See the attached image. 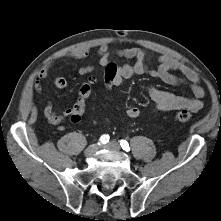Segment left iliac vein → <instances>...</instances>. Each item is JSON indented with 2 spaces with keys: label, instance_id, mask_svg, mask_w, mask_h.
Listing matches in <instances>:
<instances>
[{
  "label": "left iliac vein",
  "instance_id": "left-iliac-vein-1",
  "mask_svg": "<svg viewBox=\"0 0 221 221\" xmlns=\"http://www.w3.org/2000/svg\"><path fill=\"white\" fill-rule=\"evenodd\" d=\"M102 148L118 152L120 150V145L115 141H111L108 144L103 145Z\"/></svg>",
  "mask_w": 221,
  "mask_h": 221
}]
</instances>
